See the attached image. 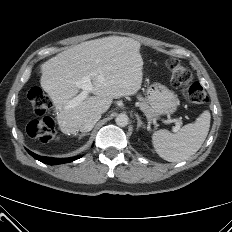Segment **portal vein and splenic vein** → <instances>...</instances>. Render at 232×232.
<instances>
[{"label":"portal vein and splenic vein","instance_id":"obj_1","mask_svg":"<svg viewBox=\"0 0 232 232\" xmlns=\"http://www.w3.org/2000/svg\"><path fill=\"white\" fill-rule=\"evenodd\" d=\"M75 85L79 89H82V92L68 102L67 104L68 108H73L77 106L79 103H81L82 101H84L93 90V86L89 76L83 77L82 79L75 81ZM165 122L176 124L172 128L173 132H177L180 129V122L178 120L170 119V120H165Z\"/></svg>","mask_w":232,"mask_h":232}]
</instances>
